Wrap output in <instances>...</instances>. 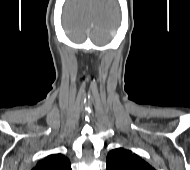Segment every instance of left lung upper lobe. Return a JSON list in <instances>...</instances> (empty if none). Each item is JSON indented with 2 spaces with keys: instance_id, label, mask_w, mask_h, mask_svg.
<instances>
[{
  "instance_id": "5c2ea615",
  "label": "left lung upper lobe",
  "mask_w": 190,
  "mask_h": 170,
  "mask_svg": "<svg viewBox=\"0 0 190 170\" xmlns=\"http://www.w3.org/2000/svg\"><path fill=\"white\" fill-rule=\"evenodd\" d=\"M106 163V170H155L141 157L124 148L111 150Z\"/></svg>"
}]
</instances>
